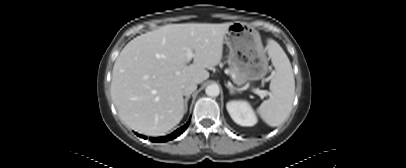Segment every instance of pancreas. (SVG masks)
<instances>
[{
  "mask_svg": "<svg viewBox=\"0 0 406 168\" xmlns=\"http://www.w3.org/2000/svg\"><path fill=\"white\" fill-rule=\"evenodd\" d=\"M229 73L235 75L234 81H236V80H237V73H236V71H234L233 69H229Z\"/></svg>",
  "mask_w": 406,
  "mask_h": 168,
  "instance_id": "obj_1",
  "label": "pancreas"
}]
</instances>
